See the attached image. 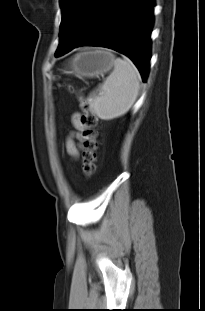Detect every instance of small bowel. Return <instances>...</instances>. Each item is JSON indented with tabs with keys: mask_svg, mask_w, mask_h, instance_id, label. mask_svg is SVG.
<instances>
[{
	"mask_svg": "<svg viewBox=\"0 0 205 311\" xmlns=\"http://www.w3.org/2000/svg\"><path fill=\"white\" fill-rule=\"evenodd\" d=\"M71 122L75 130L71 132L70 135L67 137L65 141V147L67 153L71 157H77L80 152L81 143L83 142L84 126L81 123V114L80 113L72 114Z\"/></svg>",
	"mask_w": 205,
	"mask_h": 311,
	"instance_id": "small-bowel-1",
	"label": "small bowel"
}]
</instances>
